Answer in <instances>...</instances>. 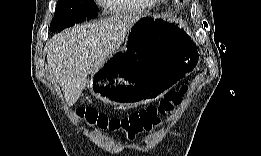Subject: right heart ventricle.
Wrapping results in <instances>:
<instances>
[{
	"mask_svg": "<svg viewBox=\"0 0 261 156\" xmlns=\"http://www.w3.org/2000/svg\"><path fill=\"white\" fill-rule=\"evenodd\" d=\"M134 1L136 0H107L104 1V4L116 10H124L128 4Z\"/></svg>",
	"mask_w": 261,
	"mask_h": 156,
	"instance_id": "1",
	"label": "right heart ventricle"
}]
</instances>
